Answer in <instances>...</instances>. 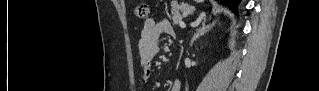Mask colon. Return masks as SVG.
Returning <instances> with one entry per match:
<instances>
[{
  "label": "colon",
  "instance_id": "colon-1",
  "mask_svg": "<svg viewBox=\"0 0 319 91\" xmlns=\"http://www.w3.org/2000/svg\"><path fill=\"white\" fill-rule=\"evenodd\" d=\"M136 15L141 19H146L150 15V6L147 3H141L136 8Z\"/></svg>",
  "mask_w": 319,
  "mask_h": 91
}]
</instances>
